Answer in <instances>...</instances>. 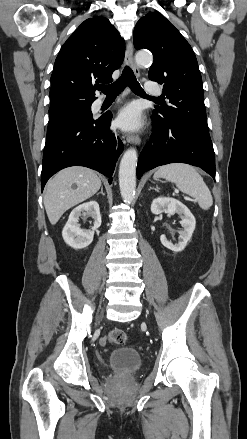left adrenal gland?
Wrapping results in <instances>:
<instances>
[{
	"label": "left adrenal gland",
	"mask_w": 247,
	"mask_h": 439,
	"mask_svg": "<svg viewBox=\"0 0 247 439\" xmlns=\"http://www.w3.org/2000/svg\"><path fill=\"white\" fill-rule=\"evenodd\" d=\"M152 189L155 190V191H157V192H159V189H158V188H154V187H149L148 190L150 191V190H152Z\"/></svg>",
	"instance_id": "obj_1"
}]
</instances>
